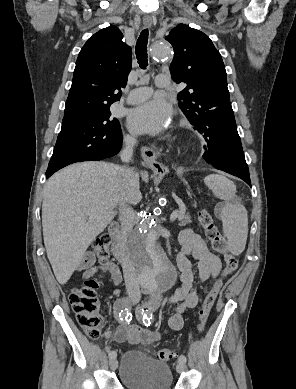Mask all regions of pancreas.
Here are the masks:
<instances>
[{
    "label": "pancreas",
    "instance_id": "obj_1",
    "mask_svg": "<svg viewBox=\"0 0 296 389\" xmlns=\"http://www.w3.org/2000/svg\"><path fill=\"white\" fill-rule=\"evenodd\" d=\"M178 221H179V226H186L191 223V217L188 213H185V210H181V212L178 215Z\"/></svg>",
    "mask_w": 296,
    "mask_h": 389
}]
</instances>
